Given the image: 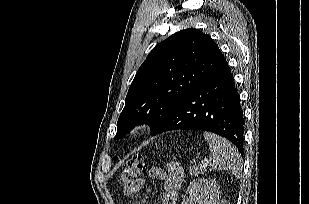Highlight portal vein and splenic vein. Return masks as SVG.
<instances>
[{"label":"portal vein and splenic vein","mask_w":309,"mask_h":204,"mask_svg":"<svg viewBox=\"0 0 309 204\" xmlns=\"http://www.w3.org/2000/svg\"><path fill=\"white\" fill-rule=\"evenodd\" d=\"M206 166H207V164L205 163V161H202V162L200 163V167H201V168H206Z\"/></svg>","instance_id":"1"}]
</instances>
